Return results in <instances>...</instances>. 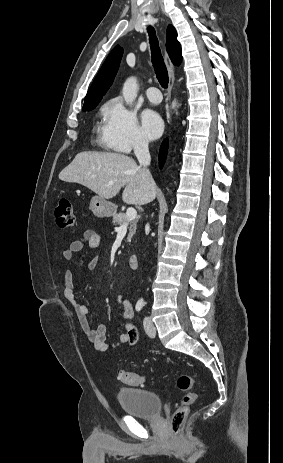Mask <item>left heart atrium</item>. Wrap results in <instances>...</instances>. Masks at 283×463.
I'll return each instance as SVG.
<instances>
[{"mask_svg":"<svg viewBox=\"0 0 283 463\" xmlns=\"http://www.w3.org/2000/svg\"><path fill=\"white\" fill-rule=\"evenodd\" d=\"M163 121L161 117L152 110H146L142 114V131L144 135L151 139H157L163 132Z\"/></svg>","mask_w":283,"mask_h":463,"instance_id":"left-heart-atrium-1","label":"left heart atrium"}]
</instances>
